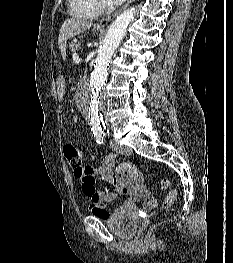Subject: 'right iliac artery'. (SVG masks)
Listing matches in <instances>:
<instances>
[{
  "label": "right iliac artery",
  "instance_id": "right-iliac-artery-1",
  "mask_svg": "<svg viewBox=\"0 0 233 263\" xmlns=\"http://www.w3.org/2000/svg\"><path fill=\"white\" fill-rule=\"evenodd\" d=\"M95 140L98 144L104 143V133L103 132H96L94 133Z\"/></svg>",
  "mask_w": 233,
  "mask_h": 263
}]
</instances>
